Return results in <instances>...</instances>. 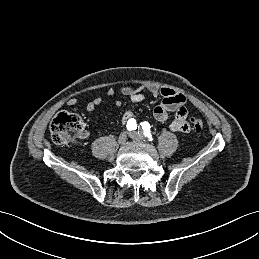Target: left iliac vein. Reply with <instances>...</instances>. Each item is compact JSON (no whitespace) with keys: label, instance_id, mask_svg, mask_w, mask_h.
I'll use <instances>...</instances> for the list:
<instances>
[{"label":"left iliac vein","instance_id":"left-iliac-vein-1","mask_svg":"<svg viewBox=\"0 0 259 259\" xmlns=\"http://www.w3.org/2000/svg\"><path fill=\"white\" fill-rule=\"evenodd\" d=\"M129 137L135 141H140L142 138L140 137L139 133L133 131L129 133Z\"/></svg>","mask_w":259,"mask_h":259}]
</instances>
